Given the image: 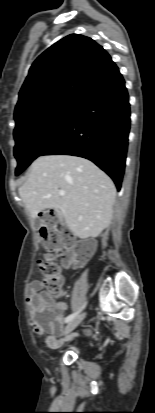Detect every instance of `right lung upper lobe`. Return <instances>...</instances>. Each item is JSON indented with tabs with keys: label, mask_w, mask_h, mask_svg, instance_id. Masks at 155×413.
<instances>
[{
	"label": "right lung upper lobe",
	"mask_w": 155,
	"mask_h": 413,
	"mask_svg": "<svg viewBox=\"0 0 155 413\" xmlns=\"http://www.w3.org/2000/svg\"><path fill=\"white\" fill-rule=\"evenodd\" d=\"M118 72L110 55L91 38L64 37L32 64L15 108V129L61 105L77 104Z\"/></svg>",
	"instance_id": "obj_1"
}]
</instances>
